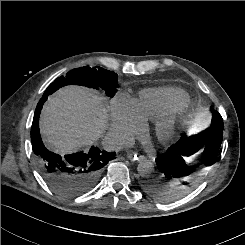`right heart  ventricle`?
Here are the masks:
<instances>
[{
    "label": "right heart ventricle",
    "instance_id": "obj_1",
    "mask_svg": "<svg viewBox=\"0 0 245 245\" xmlns=\"http://www.w3.org/2000/svg\"><path fill=\"white\" fill-rule=\"evenodd\" d=\"M135 102L140 117L146 122L183 109L189 102V96L175 87L147 88L139 92Z\"/></svg>",
    "mask_w": 245,
    "mask_h": 245
}]
</instances>
